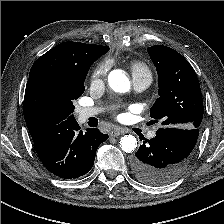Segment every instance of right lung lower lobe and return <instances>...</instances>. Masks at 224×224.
<instances>
[{
  "mask_svg": "<svg viewBox=\"0 0 224 224\" xmlns=\"http://www.w3.org/2000/svg\"><path fill=\"white\" fill-rule=\"evenodd\" d=\"M108 139L96 128L83 134L75 121L48 128L33 139L34 148L48 171L64 178H78L93 166L98 146Z\"/></svg>",
  "mask_w": 224,
  "mask_h": 224,
  "instance_id": "obj_1",
  "label": "right lung lower lobe"
}]
</instances>
